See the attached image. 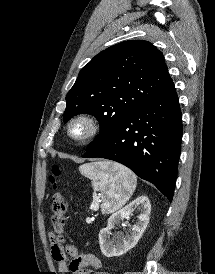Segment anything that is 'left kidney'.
<instances>
[{"mask_svg": "<svg viewBox=\"0 0 215 274\" xmlns=\"http://www.w3.org/2000/svg\"><path fill=\"white\" fill-rule=\"evenodd\" d=\"M135 209L141 210V213L138 215V222L133 225L127 237L117 236L114 243V240H110L111 229L123 219H128ZM150 212L151 204L149 199L146 196H140L121 210L113 213L108 220V226L99 233V244L103 255L108 258L121 256L132 249L147 227Z\"/></svg>", "mask_w": 215, "mask_h": 274, "instance_id": "obj_1", "label": "left kidney"}]
</instances>
